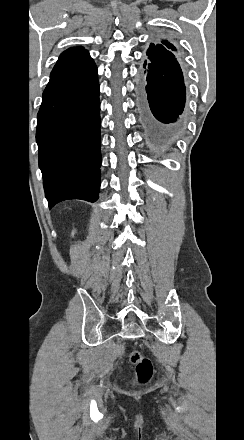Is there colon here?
Wrapping results in <instances>:
<instances>
[{
    "label": "colon",
    "instance_id": "5ec220e1",
    "mask_svg": "<svg viewBox=\"0 0 244 440\" xmlns=\"http://www.w3.org/2000/svg\"><path fill=\"white\" fill-rule=\"evenodd\" d=\"M129 362L137 364V376L141 383L149 382L151 376L154 373L152 365L147 361V359L140 354L137 350H132L128 355Z\"/></svg>",
    "mask_w": 244,
    "mask_h": 440
}]
</instances>
